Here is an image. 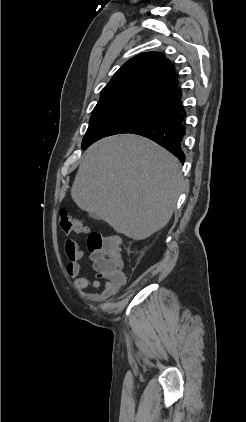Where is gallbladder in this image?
Segmentation results:
<instances>
[{"mask_svg":"<svg viewBox=\"0 0 246 422\" xmlns=\"http://www.w3.org/2000/svg\"><path fill=\"white\" fill-rule=\"evenodd\" d=\"M92 216H93V218H95V219H97L98 217L97 216H95L94 214H92Z\"/></svg>","mask_w":246,"mask_h":422,"instance_id":"bac80fb5","label":"gallbladder"}]
</instances>
